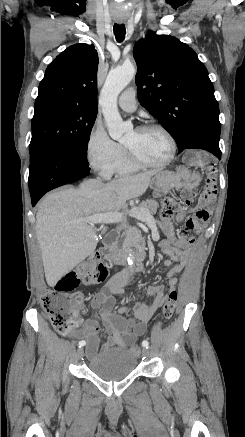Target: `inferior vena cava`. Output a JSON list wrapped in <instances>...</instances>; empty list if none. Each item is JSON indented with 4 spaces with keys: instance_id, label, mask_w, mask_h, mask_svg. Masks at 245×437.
Segmentation results:
<instances>
[{
    "instance_id": "obj_1",
    "label": "inferior vena cava",
    "mask_w": 245,
    "mask_h": 437,
    "mask_svg": "<svg viewBox=\"0 0 245 437\" xmlns=\"http://www.w3.org/2000/svg\"><path fill=\"white\" fill-rule=\"evenodd\" d=\"M98 182H100V179L98 178V180H97Z\"/></svg>"
}]
</instances>
